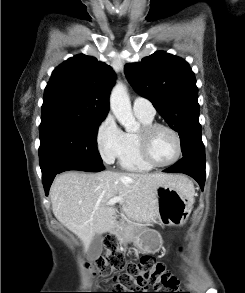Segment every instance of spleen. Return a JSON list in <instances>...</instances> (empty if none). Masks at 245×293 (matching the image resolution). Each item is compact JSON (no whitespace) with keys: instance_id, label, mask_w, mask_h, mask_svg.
Instances as JSON below:
<instances>
[{"instance_id":"obj_1","label":"spleen","mask_w":245,"mask_h":293,"mask_svg":"<svg viewBox=\"0 0 245 293\" xmlns=\"http://www.w3.org/2000/svg\"><path fill=\"white\" fill-rule=\"evenodd\" d=\"M189 186H190V188H191V190H192V192L194 193V188H193V185L189 182Z\"/></svg>"}]
</instances>
